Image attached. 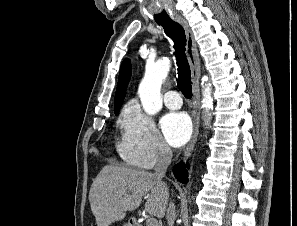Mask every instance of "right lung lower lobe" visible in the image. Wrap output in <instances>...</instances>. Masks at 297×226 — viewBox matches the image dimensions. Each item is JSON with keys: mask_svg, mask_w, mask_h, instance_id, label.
<instances>
[{"mask_svg": "<svg viewBox=\"0 0 297 226\" xmlns=\"http://www.w3.org/2000/svg\"><path fill=\"white\" fill-rule=\"evenodd\" d=\"M186 167H188V165L185 166V164L183 162H181L178 165H175L173 167V173H174L175 177L177 178L178 181H180L182 183L188 182L187 171L185 170Z\"/></svg>", "mask_w": 297, "mask_h": 226, "instance_id": "98d812e1", "label": "right lung lower lobe"}]
</instances>
